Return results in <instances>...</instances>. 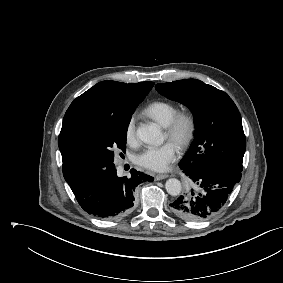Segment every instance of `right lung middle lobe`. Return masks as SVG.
Here are the masks:
<instances>
[{
  "mask_svg": "<svg viewBox=\"0 0 283 283\" xmlns=\"http://www.w3.org/2000/svg\"><path fill=\"white\" fill-rule=\"evenodd\" d=\"M138 105L114 114L74 117L59 135V149L94 171L114 165V151H125L126 135Z\"/></svg>",
  "mask_w": 283,
  "mask_h": 283,
  "instance_id": "obj_1",
  "label": "right lung middle lobe"
}]
</instances>
